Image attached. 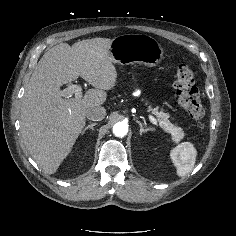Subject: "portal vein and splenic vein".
Instances as JSON below:
<instances>
[{"label": "portal vein and splenic vein", "mask_w": 236, "mask_h": 236, "mask_svg": "<svg viewBox=\"0 0 236 236\" xmlns=\"http://www.w3.org/2000/svg\"><path fill=\"white\" fill-rule=\"evenodd\" d=\"M73 94L75 95V98L77 99L82 98V88L80 85L73 84V85L68 86L62 91V96L64 98H69ZM149 119L154 125L156 126L158 125V121L153 116L150 115Z\"/></svg>", "instance_id": "1"}]
</instances>
